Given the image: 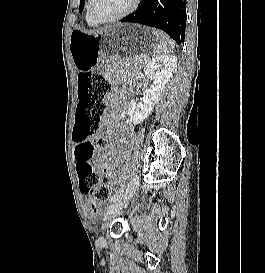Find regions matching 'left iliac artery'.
<instances>
[{
  "instance_id": "1",
  "label": "left iliac artery",
  "mask_w": 265,
  "mask_h": 273,
  "mask_svg": "<svg viewBox=\"0 0 265 273\" xmlns=\"http://www.w3.org/2000/svg\"><path fill=\"white\" fill-rule=\"evenodd\" d=\"M124 192V186H122L112 197H111V202H114L117 200Z\"/></svg>"
}]
</instances>
